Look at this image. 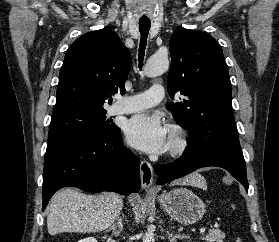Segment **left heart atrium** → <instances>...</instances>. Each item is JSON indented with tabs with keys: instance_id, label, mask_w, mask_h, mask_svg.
Returning <instances> with one entry per match:
<instances>
[{
	"instance_id": "left-heart-atrium-1",
	"label": "left heart atrium",
	"mask_w": 279,
	"mask_h": 242,
	"mask_svg": "<svg viewBox=\"0 0 279 242\" xmlns=\"http://www.w3.org/2000/svg\"><path fill=\"white\" fill-rule=\"evenodd\" d=\"M125 134L131 146L150 154H161L169 147V129L157 114L135 115L127 122Z\"/></svg>"
}]
</instances>
